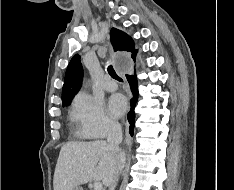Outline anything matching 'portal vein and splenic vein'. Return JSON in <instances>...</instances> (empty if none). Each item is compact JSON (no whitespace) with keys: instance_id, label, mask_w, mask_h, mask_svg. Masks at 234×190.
Segmentation results:
<instances>
[{"instance_id":"18ae733b","label":"portal vein and splenic vein","mask_w":234,"mask_h":190,"mask_svg":"<svg viewBox=\"0 0 234 190\" xmlns=\"http://www.w3.org/2000/svg\"><path fill=\"white\" fill-rule=\"evenodd\" d=\"M94 190H102V187H103V185H102V183L101 182H95L94 183Z\"/></svg>"}]
</instances>
